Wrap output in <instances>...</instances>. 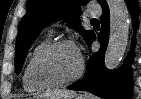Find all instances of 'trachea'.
<instances>
[{
  "mask_svg": "<svg viewBox=\"0 0 141 99\" xmlns=\"http://www.w3.org/2000/svg\"><path fill=\"white\" fill-rule=\"evenodd\" d=\"M92 23H98L99 21L97 19H91Z\"/></svg>",
  "mask_w": 141,
  "mask_h": 99,
  "instance_id": "trachea-1",
  "label": "trachea"
}]
</instances>
